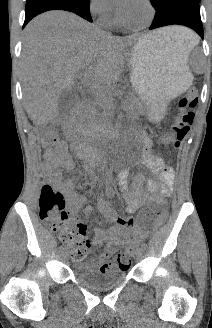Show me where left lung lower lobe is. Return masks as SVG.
Returning a JSON list of instances; mask_svg holds the SVG:
<instances>
[{"instance_id":"left-lung-lower-lobe-1","label":"left lung lower lobe","mask_w":212,"mask_h":328,"mask_svg":"<svg viewBox=\"0 0 212 328\" xmlns=\"http://www.w3.org/2000/svg\"><path fill=\"white\" fill-rule=\"evenodd\" d=\"M155 7V18L149 29L167 25H184L197 32L203 39L200 6L196 0H150Z\"/></svg>"}]
</instances>
